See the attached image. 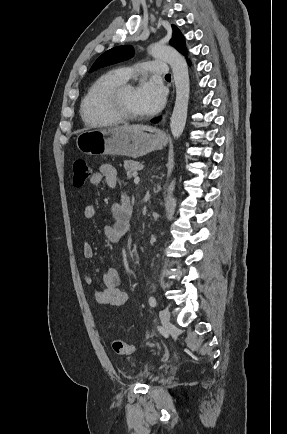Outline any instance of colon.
<instances>
[{"mask_svg": "<svg viewBox=\"0 0 287 434\" xmlns=\"http://www.w3.org/2000/svg\"><path fill=\"white\" fill-rule=\"evenodd\" d=\"M73 185L82 187L90 176V170L85 160L77 159L73 162ZM112 350L118 355H131L134 351L132 345L120 339L110 342Z\"/></svg>", "mask_w": 287, "mask_h": 434, "instance_id": "1", "label": "colon"}]
</instances>
